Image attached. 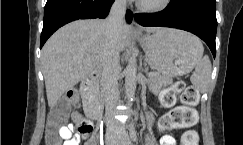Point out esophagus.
<instances>
[{"mask_svg":"<svg viewBox=\"0 0 243 145\" xmlns=\"http://www.w3.org/2000/svg\"><path fill=\"white\" fill-rule=\"evenodd\" d=\"M134 16H135V14H134ZM131 28H132L133 31H139V29H140L138 23L135 21L134 18H133V21H132V24H131Z\"/></svg>","mask_w":243,"mask_h":145,"instance_id":"34e87169","label":"esophagus"}]
</instances>
